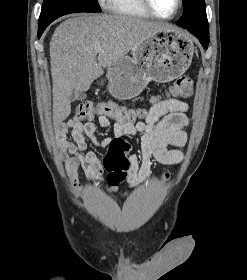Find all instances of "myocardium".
<instances>
[{
	"mask_svg": "<svg viewBox=\"0 0 247 280\" xmlns=\"http://www.w3.org/2000/svg\"><path fill=\"white\" fill-rule=\"evenodd\" d=\"M141 3L143 5V7L145 8V10L149 13L150 16H152L156 19H159V20H172V19H174L178 15V13H179V11L182 7V0H176L177 5H176L175 11L170 16L164 17V16H160L159 14H157L155 12V10L153 9V7L151 5L150 0H141Z\"/></svg>",
	"mask_w": 247,
	"mask_h": 280,
	"instance_id": "f54148a6",
	"label": "myocardium"
}]
</instances>
